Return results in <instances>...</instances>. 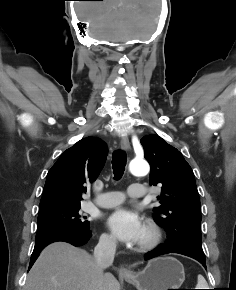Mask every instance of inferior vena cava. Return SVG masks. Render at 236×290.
<instances>
[{"instance_id": "obj_1", "label": "inferior vena cava", "mask_w": 236, "mask_h": 290, "mask_svg": "<svg viewBox=\"0 0 236 290\" xmlns=\"http://www.w3.org/2000/svg\"><path fill=\"white\" fill-rule=\"evenodd\" d=\"M117 240L113 236H102L94 249V259L103 271L111 266L116 252Z\"/></svg>"}]
</instances>
